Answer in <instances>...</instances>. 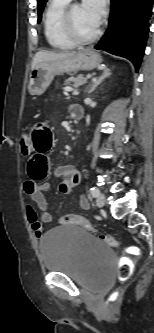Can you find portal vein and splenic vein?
I'll list each match as a JSON object with an SVG mask.
<instances>
[{"mask_svg":"<svg viewBox=\"0 0 154 333\" xmlns=\"http://www.w3.org/2000/svg\"><path fill=\"white\" fill-rule=\"evenodd\" d=\"M65 91H68V92H69V91H73V93H76V94L78 93V92H76L74 89L69 88V87H66V88H65Z\"/></svg>","mask_w":154,"mask_h":333,"instance_id":"18ae733b","label":"portal vein and splenic vein"}]
</instances>
